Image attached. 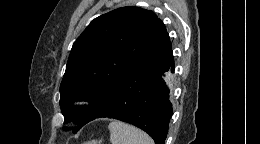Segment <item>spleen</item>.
<instances>
[{
    "label": "spleen",
    "instance_id": "1",
    "mask_svg": "<svg viewBox=\"0 0 260 144\" xmlns=\"http://www.w3.org/2000/svg\"><path fill=\"white\" fill-rule=\"evenodd\" d=\"M108 129L111 144H154L145 132L121 121L113 120Z\"/></svg>",
    "mask_w": 260,
    "mask_h": 144
}]
</instances>
